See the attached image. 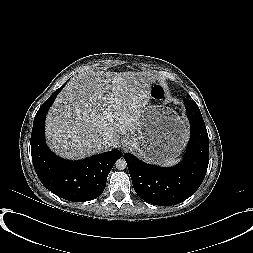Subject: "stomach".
<instances>
[{
	"label": "stomach",
	"mask_w": 253,
	"mask_h": 253,
	"mask_svg": "<svg viewBox=\"0 0 253 253\" xmlns=\"http://www.w3.org/2000/svg\"><path fill=\"white\" fill-rule=\"evenodd\" d=\"M138 122L136 134L125 142L140 158L160 163L181 153L188 130L172 108L149 104L143 108Z\"/></svg>",
	"instance_id": "0dacf381"
}]
</instances>
